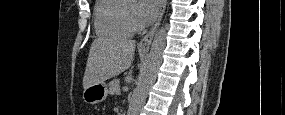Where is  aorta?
<instances>
[{
	"instance_id": "aorta-1",
	"label": "aorta",
	"mask_w": 285,
	"mask_h": 115,
	"mask_svg": "<svg viewBox=\"0 0 285 115\" xmlns=\"http://www.w3.org/2000/svg\"><path fill=\"white\" fill-rule=\"evenodd\" d=\"M166 44V28L162 27L156 33L151 45L148 61L140 75L139 82L132 94L127 115H138L143 107L148 93L154 84L158 69L162 62Z\"/></svg>"
}]
</instances>
